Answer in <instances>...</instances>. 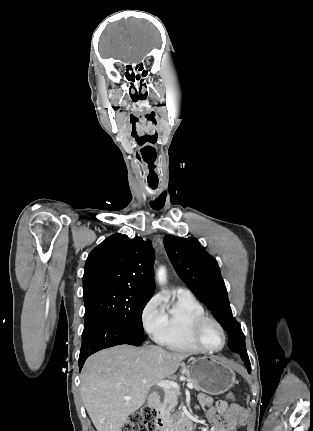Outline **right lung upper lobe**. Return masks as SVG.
<instances>
[{"label":"right lung upper lobe","mask_w":313,"mask_h":431,"mask_svg":"<svg viewBox=\"0 0 313 431\" xmlns=\"http://www.w3.org/2000/svg\"><path fill=\"white\" fill-rule=\"evenodd\" d=\"M153 262L150 240L114 234L94 248L86 260L83 297L112 288H127L152 297Z\"/></svg>","instance_id":"1"}]
</instances>
